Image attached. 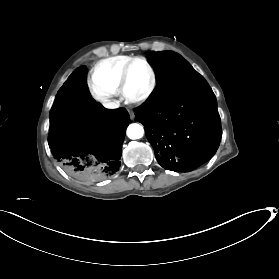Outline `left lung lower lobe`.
Returning a JSON list of instances; mask_svg holds the SVG:
<instances>
[{
    "label": "left lung lower lobe",
    "mask_w": 279,
    "mask_h": 279,
    "mask_svg": "<svg viewBox=\"0 0 279 279\" xmlns=\"http://www.w3.org/2000/svg\"><path fill=\"white\" fill-rule=\"evenodd\" d=\"M158 163L165 169L190 172L217 151L222 129L216 97L201 76L170 99L134 110Z\"/></svg>",
    "instance_id": "0a47b994"
}]
</instances>
